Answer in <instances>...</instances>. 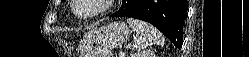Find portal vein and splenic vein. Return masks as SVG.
I'll list each match as a JSON object with an SVG mask.
<instances>
[{"label":"portal vein and splenic vein","instance_id":"1","mask_svg":"<svg viewBox=\"0 0 249 57\" xmlns=\"http://www.w3.org/2000/svg\"><path fill=\"white\" fill-rule=\"evenodd\" d=\"M119 56H120V57H125V53L120 52V53H119Z\"/></svg>","mask_w":249,"mask_h":57}]
</instances>
